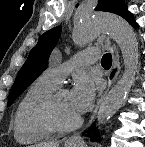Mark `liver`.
Segmentation results:
<instances>
[{"label": "liver", "instance_id": "6515ba94", "mask_svg": "<svg viewBox=\"0 0 145 147\" xmlns=\"http://www.w3.org/2000/svg\"><path fill=\"white\" fill-rule=\"evenodd\" d=\"M33 147H59V142H42Z\"/></svg>", "mask_w": 145, "mask_h": 147}]
</instances>
